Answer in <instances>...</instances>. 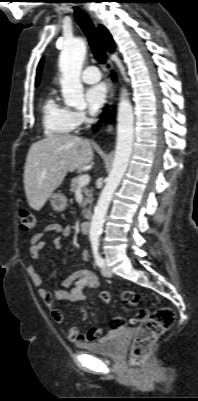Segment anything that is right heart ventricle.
I'll return each instance as SVG.
<instances>
[{"instance_id":"right-heart-ventricle-1","label":"right heart ventricle","mask_w":198,"mask_h":401,"mask_svg":"<svg viewBox=\"0 0 198 401\" xmlns=\"http://www.w3.org/2000/svg\"><path fill=\"white\" fill-rule=\"evenodd\" d=\"M72 110L61 104L54 91H50L41 104L42 124L48 136H65L71 134L76 125Z\"/></svg>"}]
</instances>
